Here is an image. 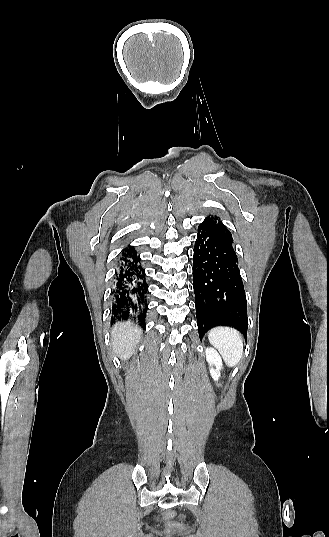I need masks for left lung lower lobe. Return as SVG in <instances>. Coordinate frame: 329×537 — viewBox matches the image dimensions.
Returning a JSON list of instances; mask_svg holds the SVG:
<instances>
[{
    "label": "left lung lower lobe",
    "instance_id": "left-lung-lower-lobe-1",
    "mask_svg": "<svg viewBox=\"0 0 329 537\" xmlns=\"http://www.w3.org/2000/svg\"><path fill=\"white\" fill-rule=\"evenodd\" d=\"M193 288L200 339L215 326L247 335V301L233 238L203 221L193 255Z\"/></svg>",
    "mask_w": 329,
    "mask_h": 537
}]
</instances>
